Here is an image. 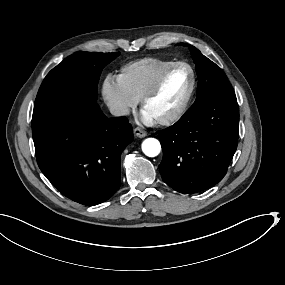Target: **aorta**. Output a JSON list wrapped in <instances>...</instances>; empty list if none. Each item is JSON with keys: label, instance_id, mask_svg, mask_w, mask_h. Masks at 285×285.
Instances as JSON below:
<instances>
[{"label": "aorta", "instance_id": "obj_1", "mask_svg": "<svg viewBox=\"0 0 285 285\" xmlns=\"http://www.w3.org/2000/svg\"><path fill=\"white\" fill-rule=\"evenodd\" d=\"M142 151L148 157H156L161 152V145L157 139L149 138L142 143Z\"/></svg>", "mask_w": 285, "mask_h": 285}]
</instances>
